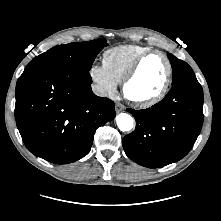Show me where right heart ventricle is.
<instances>
[{
	"instance_id": "1",
	"label": "right heart ventricle",
	"mask_w": 221,
	"mask_h": 221,
	"mask_svg": "<svg viewBox=\"0 0 221 221\" xmlns=\"http://www.w3.org/2000/svg\"><path fill=\"white\" fill-rule=\"evenodd\" d=\"M147 50L150 48L138 44L115 46L103 53L102 63L113 80L122 83L135 60Z\"/></svg>"
}]
</instances>
